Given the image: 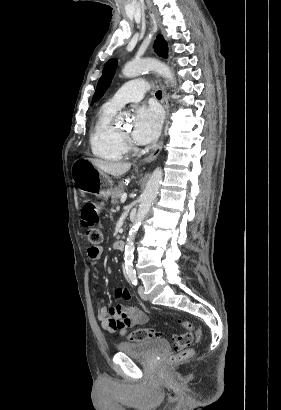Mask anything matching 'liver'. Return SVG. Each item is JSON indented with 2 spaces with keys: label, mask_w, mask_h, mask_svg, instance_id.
Instances as JSON below:
<instances>
[{
  "label": "liver",
  "mask_w": 281,
  "mask_h": 410,
  "mask_svg": "<svg viewBox=\"0 0 281 410\" xmlns=\"http://www.w3.org/2000/svg\"><path fill=\"white\" fill-rule=\"evenodd\" d=\"M95 167L116 178L121 177L131 168V163L111 162L100 159H89Z\"/></svg>",
  "instance_id": "6515ba94"
}]
</instances>
